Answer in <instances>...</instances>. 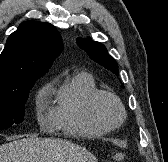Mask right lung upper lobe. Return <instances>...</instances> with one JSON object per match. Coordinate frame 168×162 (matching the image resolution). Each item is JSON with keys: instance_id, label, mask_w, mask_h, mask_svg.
I'll return each mask as SVG.
<instances>
[{"instance_id": "1", "label": "right lung upper lobe", "mask_w": 168, "mask_h": 162, "mask_svg": "<svg viewBox=\"0 0 168 162\" xmlns=\"http://www.w3.org/2000/svg\"><path fill=\"white\" fill-rule=\"evenodd\" d=\"M63 48L57 29L48 23L26 21L7 39L0 55V88L37 80Z\"/></svg>"}]
</instances>
